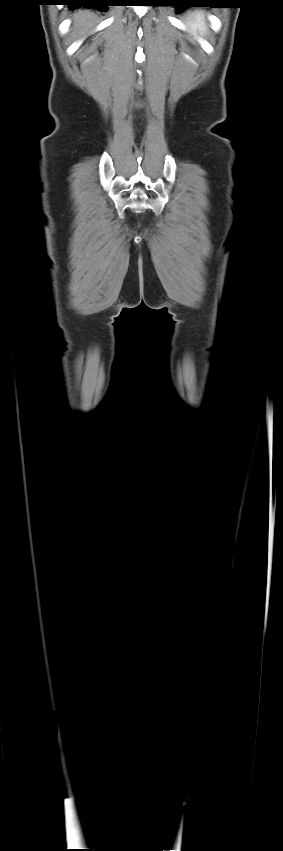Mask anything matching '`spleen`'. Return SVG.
Segmentation results:
<instances>
[{
  "label": "spleen",
  "instance_id": "3e777b00",
  "mask_svg": "<svg viewBox=\"0 0 283 851\" xmlns=\"http://www.w3.org/2000/svg\"><path fill=\"white\" fill-rule=\"evenodd\" d=\"M187 26L190 28L192 35L196 36L197 33L205 35L207 32V25L203 11L194 10L190 12L187 16Z\"/></svg>",
  "mask_w": 283,
  "mask_h": 851
}]
</instances>
